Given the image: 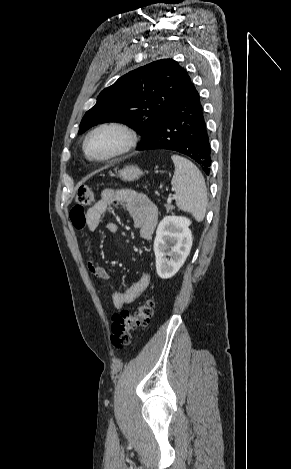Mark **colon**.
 Returning <instances> with one entry per match:
<instances>
[{
  "mask_svg": "<svg viewBox=\"0 0 291 469\" xmlns=\"http://www.w3.org/2000/svg\"><path fill=\"white\" fill-rule=\"evenodd\" d=\"M76 200L78 205L74 207L71 214L79 218L85 206H90L94 202L93 190L88 186L78 188ZM154 300L147 298L143 300L134 311L121 310L112 316L110 327V340L112 345L122 350L131 343V333L133 330L146 327L153 315Z\"/></svg>",
  "mask_w": 291,
  "mask_h": 469,
  "instance_id": "obj_1",
  "label": "colon"
}]
</instances>
